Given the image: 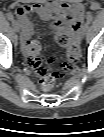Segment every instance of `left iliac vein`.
I'll list each match as a JSON object with an SVG mask.
<instances>
[{
    "mask_svg": "<svg viewBox=\"0 0 104 137\" xmlns=\"http://www.w3.org/2000/svg\"><path fill=\"white\" fill-rule=\"evenodd\" d=\"M87 30H88V24L86 23V24H84V25L82 26V28H81L80 38H83V37H84V35L86 34Z\"/></svg>",
    "mask_w": 104,
    "mask_h": 137,
    "instance_id": "obj_1",
    "label": "left iliac vein"
}]
</instances>
